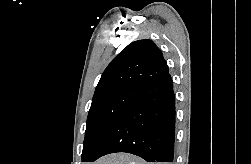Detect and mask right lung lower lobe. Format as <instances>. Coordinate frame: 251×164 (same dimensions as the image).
Segmentation results:
<instances>
[{
  "instance_id": "right-lung-lower-lobe-1",
  "label": "right lung lower lobe",
  "mask_w": 251,
  "mask_h": 164,
  "mask_svg": "<svg viewBox=\"0 0 251 164\" xmlns=\"http://www.w3.org/2000/svg\"><path fill=\"white\" fill-rule=\"evenodd\" d=\"M175 140V95L169 74L140 90L139 97L115 120L84 162L115 152L147 162H172Z\"/></svg>"
}]
</instances>
